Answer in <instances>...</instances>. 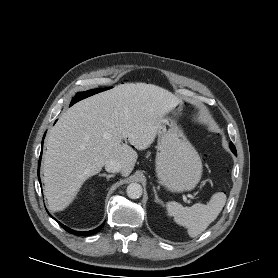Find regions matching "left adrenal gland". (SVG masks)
Returning <instances> with one entry per match:
<instances>
[{"label":"left adrenal gland","mask_w":278,"mask_h":278,"mask_svg":"<svg viewBox=\"0 0 278 278\" xmlns=\"http://www.w3.org/2000/svg\"><path fill=\"white\" fill-rule=\"evenodd\" d=\"M153 192H154V195H155V202L163 204V202L158 198V195H157V192H156V189H155L154 186H153Z\"/></svg>","instance_id":"obj_1"}]
</instances>
